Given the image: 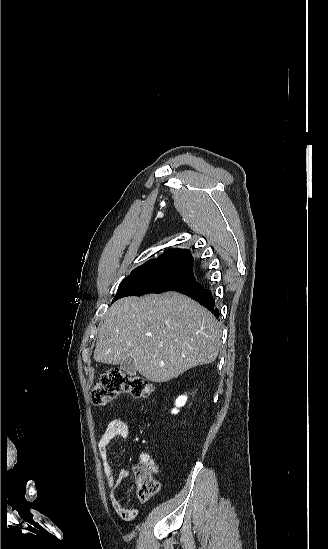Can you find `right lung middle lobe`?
Masks as SVG:
<instances>
[{"instance_id":"right-lung-middle-lobe-1","label":"right lung middle lobe","mask_w":328,"mask_h":549,"mask_svg":"<svg viewBox=\"0 0 328 549\" xmlns=\"http://www.w3.org/2000/svg\"><path fill=\"white\" fill-rule=\"evenodd\" d=\"M201 287L192 274L165 270H135L120 283L113 302L126 296L166 291L185 292Z\"/></svg>"}]
</instances>
